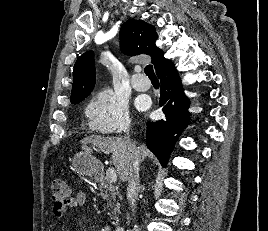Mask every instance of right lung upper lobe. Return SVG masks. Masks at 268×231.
<instances>
[{
	"label": "right lung upper lobe",
	"mask_w": 268,
	"mask_h": 231,
	"mask_svg": "<svg viewBox=\"0 0 268 231\" xmlns=\"http://www.w3.org/2000/svg\"><path fill=\"white\" fill-rule=\"evenodd\" d=\"M157 34L155 27L143 20L130 19L123 23L120 30V48L126 55L147 54L152 57L156 73L171 64L164 53L155 45ZM95 84L94 54L88 51L76 61L73 70L71 102L87 97Z\"/></svg>",
	"instance_id": "cb5924a9"
}]
</instances>
